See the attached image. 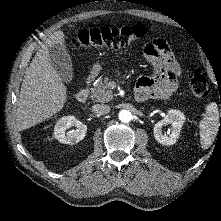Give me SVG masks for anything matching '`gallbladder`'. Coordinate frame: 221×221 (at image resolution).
Instances as JSON below:
<instances>
[{
	"label": "gallbladder",
	"mask_w": 221,
	"mask_h": 221,
	"mask_svg": "<svg viewBox=\"0 0 221 221\" xmlns=\"http://www.w3.org/2000/svg\"><path fill=\"white\" fill-rule=\"evenodd\" d=\"M49 56L52 66L56 69L61 80L65 83H69L73 78V68L71 57L62 44H56L49 48Z\"/></svg>",
	"instance_id": "1"
}]
</instances>
